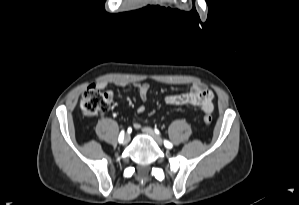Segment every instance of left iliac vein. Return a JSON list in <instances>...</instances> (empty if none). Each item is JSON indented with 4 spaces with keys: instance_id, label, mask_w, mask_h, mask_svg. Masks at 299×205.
Wrapping results in <instances>:
<instances>
[{
    "instance_id": "left-iliac-vein-1",
    "label": "left iliac vein",
    "mask_w": 299,
    "mask_h": 205,
    "mask_svg": "<svg viewBox=\"0 0 299 205\" xmlns=\"http://www.w3.org/2000/svg\"><path fill=\"white\" fill-rule=\"evenodd\" d=\"M142 131L145 134L151 136L158 145H160V146L163 145L162 138L152 128H150V127H143Z\"/></svg>"
}]
</instances>
